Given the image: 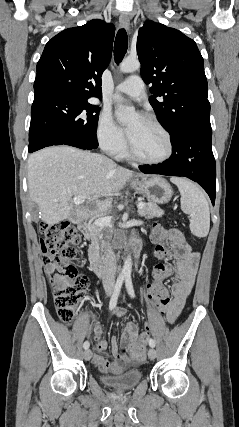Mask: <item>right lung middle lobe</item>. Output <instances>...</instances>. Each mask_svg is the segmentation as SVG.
Wrapping results in <instances>:
<instances>
[{"label":"right lung middle lobe","instance_id":"right-lung-middle-lobe-1","mask_svg":"<svg viewBox=\"0 0 239 427\" xmlns=\"http://www.w3.org/2000/svg\"><path fill=\"white\" fill-rule=\"evenodd\" d=\"M99 110L85 99H34L28 150H38L55 143L95 148L98 145Z\"/></svg>","mask_w":239,"mask_h":427}]
</instances>
